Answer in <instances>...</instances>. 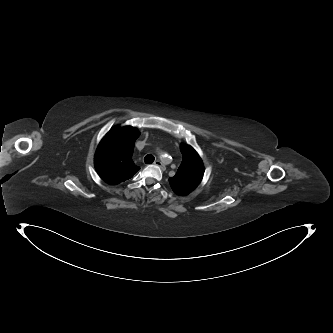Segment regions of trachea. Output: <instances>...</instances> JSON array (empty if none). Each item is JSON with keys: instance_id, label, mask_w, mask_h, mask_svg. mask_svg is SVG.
<instances>
[{"instance_id": "trachea-1", "label": "trachea", "mask_w": 333, "mask_h": 333, "mask_svg": "<svg viewBox=\"0 0 333 333\" xmlns=\"http://www.w3.org/2000/svg\"><path fill=\"white\" fill-rule=\"evenodd\" d=\"M154 160H155L154 156H153V155H150V154H148V155H146V156L144 157V162H145L146 164L153 163Z\"/></svg>"}]
</instances>
